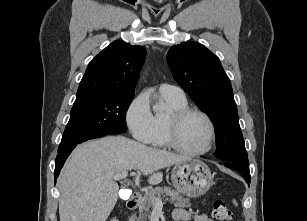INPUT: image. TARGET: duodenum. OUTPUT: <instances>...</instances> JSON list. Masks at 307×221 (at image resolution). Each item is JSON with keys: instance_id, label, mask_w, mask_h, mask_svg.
<instances>
[{"instance_id": "obj_1", "label": "duodenum", "mask_w": 307, "mask_h": 221, "mask_svg": "<svg viewBox=\"0 0 307 221\" xmlns=\"http://www.w3.org/2000/svg\"><path fill=\"white\" fill-rule=\"evenodd\" d=\"M139 202H140V196L134 195L127 200V207L131 210H134L138 207Z\"/></svg>"}]
</instances>
